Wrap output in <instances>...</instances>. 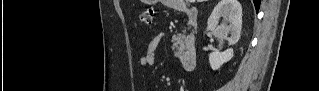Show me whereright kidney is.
<instances>
[{
	"instance_id": "right-kidney-1",
	"label": "right kidney",
	"mask_w": 319,
	"mask_h": 91,
	"mask_svg": "<svg viewBox=\"0 0 319 91\" xmlns=\"http://www.w3.org/2000/svg\"><path fill=\"white\" fill-rule=\"evenodd\" d=\"M223 23L218 25L220 18ZM242 27V6L238 0H221L215 6L213 12L208 18L207 31H214L216 37L227 39L230 44H235L240 38ZM229 35V37H228ZM233 57V49L225 52H213L209 54V63L213 70Z\"/></svg>"
}]
</instances>
